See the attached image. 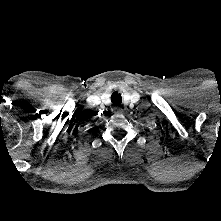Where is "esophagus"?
I'll return each instance as SVG.
<instances>
[{
  "label": "esophagus",
  "instance_id": "obj_1",
  "mask_svg": "<svg viewBox=\"0 0 221 221\" xmlns=\"http://www.w3.org/2000/svg\"><path fill=\"white\" fill-rule=\"evenodd\" d=\"M113 111H114L115 113L121 114V113L123 112V109H122L121 107H119V106H115V107L113 108Z\"/></svg>",
  "mask_w": 221,
  "mask_h": 221
}]
</instances>
